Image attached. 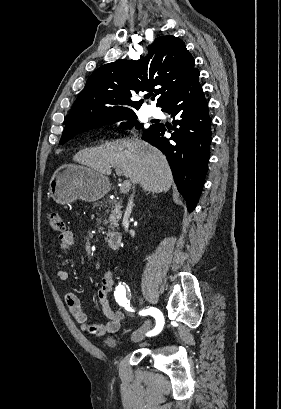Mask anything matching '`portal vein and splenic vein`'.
<instances>
[{"label":"portal vein and splenic vein","mask_w":281,"mask_h":409,"mask_svg":"<svg viewBox=\"0 0 281 409\" xmlns=\"http://www.w3.org/2000/svg\"><path fill=\"white\" fill-rule=\"evenodd\" d=\"M132 186V183L130 180H123L120 186L121 194L123 196H126L128 194V189H130Z\"/></svg>","instance_id":"obj_1"}]
</instances>
